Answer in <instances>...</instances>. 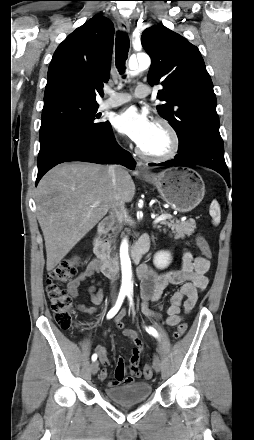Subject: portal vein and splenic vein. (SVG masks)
<instances>
[{
    "mask_svg": "<svg viewBox=\"0 0 254 440\" xmlns=\"http://www.w3.org/2000/svg\"><path fill=\"white\" fill-rule=\"evenodd\" d=\"M99 205V203H94L93 205H92V207H96V206H98ZM172 218V215H170V214H162V215H160L159 217H157L154 221H153V224L154 225H156V224H158L159 222H162V221H164V220H166V219H171Z\"/></svg>",
    "mask_w": 254,
    "mask_h": 440,
    "instance_id": "portal-vein-and-splenic-vein-1",
    "label": "portal vein and splenic vein"
}]
</instances>
